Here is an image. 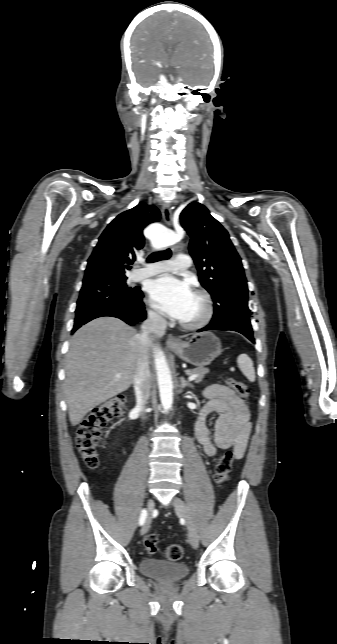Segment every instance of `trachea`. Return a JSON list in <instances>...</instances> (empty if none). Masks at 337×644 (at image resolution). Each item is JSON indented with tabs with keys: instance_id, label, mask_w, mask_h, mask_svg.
Masks as SVG:
<instances>
[{
	"instance_id": "1",
	"label": "trachea",
	"mask_w": 337,
	"mask_h": 644,
	"mask_svg": "<svg viewBox=\"0 0 337 644\" xmlns=\"http://www.w3.org/2000/svg\"><path fill=\"white\" fill-rule=\"evenodd\" d=\"M171 250L167 249L164 251H159L150 255L147 259L148 262H155L163 259H168L171 256Z\"/></svg>"
}]
</instances>
